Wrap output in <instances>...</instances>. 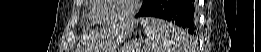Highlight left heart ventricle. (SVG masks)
<instances>
[{"label": "left heart ventricle", "mask_w": 261, "mask_h": 52, "mask_svg": "<svg viewBox=\"0 0 261 52\" xmlns=\"http://www.w3.org/2000/svg\"><path fill=\"white\" fill-rule=\"evenodd\" d=\"M106 3L105 9L99 13V18L105 21H112L123 16L130 7V0H103Z\"/></svg>", "instance_id": "obj_1"}]
</instances>
